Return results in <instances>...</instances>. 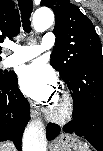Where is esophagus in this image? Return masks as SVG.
Listing matches in <instances>:
<instances>
[{"instance_id":"esophagus-1","label":"esophagus","mask_w":103,"mask_h":151,"mask_svg":"<svg viewBox=\"0 0 103 151\" xmlns=\"http://www.w3.org/2000/svg\"><path fill=\"white\" fill-rule=\"evenodd\" d=\"M37 116V110L34 105H31V117L35 118Z\"/></svg>"}]
</instances>
